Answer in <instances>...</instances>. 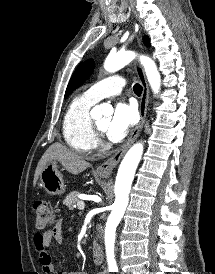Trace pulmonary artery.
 Here are the masks:
<instances>
[{
    "mask_svg": "<svg viewBox=\"0 0 215 274\" xmlns=\"http://www.w3.org/2000/svg\"><path fill=\"white\" fill-rule=\"evenodd\" d=\"M124 86L125 79L119 75H114L92 85L84 94L97 102L103 98L120 94Z\"/></svg>",
    "mask_w": 215,
    "mask_h": 274,
    "instance_id": "1",
    "label": "pulmonary artery"
}]
</instances>
